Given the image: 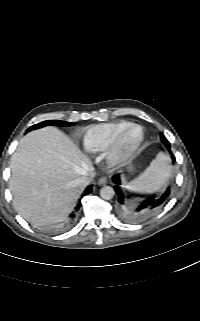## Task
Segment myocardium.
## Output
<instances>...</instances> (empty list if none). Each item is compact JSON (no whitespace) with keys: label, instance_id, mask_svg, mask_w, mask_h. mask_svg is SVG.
<instances>
[{"label":"myocardium","instance_id":"myocardium-1","mask_svg":"<svg viewBox=\"0 0 200 321\" xmlns=\"http://www.w3.org/2000/svg\"><path fill=\"white\" fill-rule=\"evenodd\" d=\"M140 129V137L139 139L133 143L132 145H125V137L127 133L133 129ZM145 133L144 129L141 125L136 123H131L126 126L115 138L114 142L107 150L106 159L107 163L111 168H118L125 165L132 156L136 153V151L140 148L144 141Z\"/></svg>","mask_w":200,"mask_h":321}]
</instances>
